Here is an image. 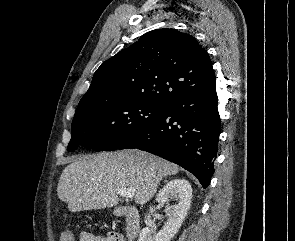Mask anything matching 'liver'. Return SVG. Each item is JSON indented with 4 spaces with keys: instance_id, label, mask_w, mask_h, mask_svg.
<instances>
[{
    "instance_id": "1",
    "label": "liver",
    "mask_w": 295,
    "mask_h": 241,
    "mask_svg": "<svg viewBox=\"0 0 295 241\" xmlns=\"http://www.w3.org/2000/svg\"><path fill=\"white\" fill-rule=\"evenodd\" d=\"M179 166L140 150L79 156L63 170L58 198L71 212L96 210L118 204L119 188H134L135 203L145 204L156 193L164 176Z\"/></svg>"
}]
</instances>
